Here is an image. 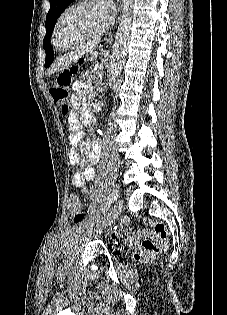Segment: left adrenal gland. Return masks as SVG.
Segmentation results:
<instances>
[{
  "label": "left adrenal gland",
  "mask_w": 227,
  "mask_h": 315,
  "mask_svg": "<svg viewBox=\"0 0 227 315\" xmlns=\"http://www.w3.org/2000/svg\"><path fill=\"white\" fill-rule=\"evenodd\" d=\"M101 83H102V76L100 74L96 81V94L98 93V91H102V89L99 87Z\"/></svg>",
  "instance_id": "a2214340"
}]
</instances>
